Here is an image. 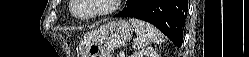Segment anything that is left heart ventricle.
Returning a JSON list of instances; mask_svg holds the SVG:
<instances>
[{
    "mask_svg": "<svg viewBox=\"0 0 249 57\" xmlns=\"http://www.w3.org/2000/svg\"><path fill=\"white\" fill-rule=\"evenodd\" d=\"M108 0H78L75 8L77 15H88L97 13L108 7Z\"/></svg>",
    "mask_w": 249,
    "mask_h": 57,
    "instance_id": "obj_1",
    "label": "left heart ventricle"
}]
</instances>
